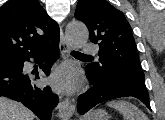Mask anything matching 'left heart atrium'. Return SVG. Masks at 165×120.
Instances as JSON below:
<instances>
[{
  "instance_id": "1",
  "label": "left heart atrium",
  "mask_w": 165,
  "mask_h": 120,
  "mask_svg": "<svg viewBox=\"0 0 165 120\" xmlns=\"http://www.w3.org/2000/svg\"><path fill=\"white\" fill-rule=\"evenodd\" d=\"M50 83L58 91L72 92L79 85L77 70L71 65H62L52 73Z\"/></svg>"
}]
</instances>
